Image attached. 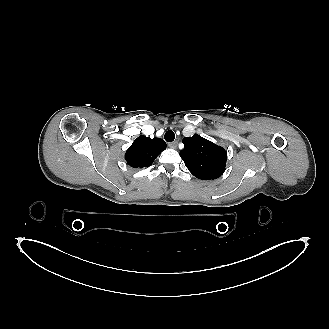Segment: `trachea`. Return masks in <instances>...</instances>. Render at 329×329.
<instances>
[{"label":"trachea","mask_w":329,"mask_h":329,"mask_svg":"<svg viewBox=\"0 0 329 329\" xmlns=\"http://www.w3.org/2000/svg\"><path fill=\"white\" fill-rule=\"evenodd\" d=\"M164 138L167 142H172L175 139V134L173 131L169 130L165 133Z\"/></svg>","instance_id":"obj_1"}]
</instances>
